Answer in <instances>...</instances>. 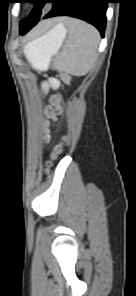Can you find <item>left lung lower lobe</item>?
<instances>
[{"instance_id":"1","label":"left lung lower lobe","mask_w":136,"mask_h":296,"mask_svg":"<svg viewBox=\"0 0 136 296\" xmlns=\"http://www.w3.org/2000/svg\"><path fill=\"white\" fill-rule=\"evenodd\" d=\"M50 3H53V8L43 19L55 16L79 18L94 25L100 31L101 36H104L109 0H52ZM32 27L21 29L20 34L24 35Z\"/></svg>"}]
</instances>
